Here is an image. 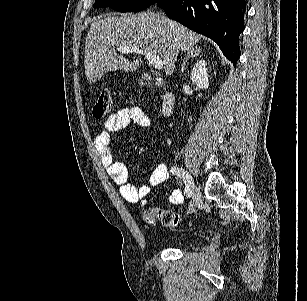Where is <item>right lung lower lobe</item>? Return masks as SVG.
Segmentation results:
<instances>
[{"label":"right lung lower lobe","mask_w":307,"mask_h":301,"mask_svg":"<svg viewBox=\"0 0 307 301\" xmlns=\"http://www.w3.org/2000/svg\"><path fill=\"white\" fill-rule=\"evenodd\" d=\"M156 3L169 18L214 40L234 64L239 59L245 0H158Z\"/></svg>","instance_id":"obj_1"}]
</instances>
